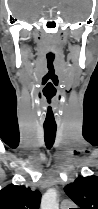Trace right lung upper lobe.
<instances>
[{
    "label": "right lung upper lobe",
    "mask_w": 98,
    "mask_h": 209,
    "mask_svg": "<svg viewBox=\"0 0 98 209\" xmlns=\"http://www.w3.org/2000/svg\"><path fill=\"white\" fill-rule=\"evenodd\" d=\"M41 194L25 186L10 184L0 191V209H39Z\"/></svg>",
    "instance_id": "right-lung-upper-lobe-1"
}]
</instances>
